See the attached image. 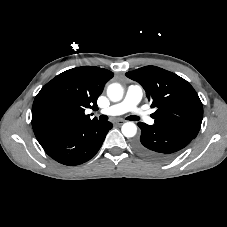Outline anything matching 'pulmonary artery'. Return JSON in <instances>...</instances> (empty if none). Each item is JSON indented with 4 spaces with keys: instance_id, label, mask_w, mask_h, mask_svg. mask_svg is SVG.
Segmentation results:
<instances>
[{
    "instance_id": "obj_1",
    "label": "pulmonary artery",
    "mask_w": 227,
    "mask_h": 227,
    "mask_svg": "<svg viewBox=\"0 0 227 227\" xmlns=\"http://www.w3.org/2000/svg\"><path fill=\"white\" fill-rule=\"evenodd\" d=\"M142 97L143 89L141 86L135 84L129 85L125 97L121 102L102 109L99 113L108 116H117L130 112L146 123L152 124V118H150L147 112L139 107Z\"/></svg>"
}]
</instances>
